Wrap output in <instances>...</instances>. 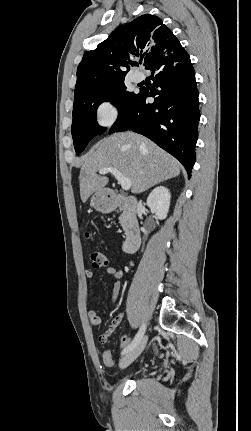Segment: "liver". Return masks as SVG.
<instances>
[{"label": "liver", "instance_id": "1", "mask_svg": "<svg viewBox=\"0 0 251 431\" xmlns=\"http://www.w3.org/2000/svg\"><path fill=\"white\" fill-rule=\"evenodd\" d=\"M117 169L131 180V191L142 193L152 186L180 174V163L146 137L121 132L97 143L83 158L80 171L82 202L109 182L106 176L97 175L102 168Z\"/></svg>", "mask_w": 251, "mask_h": 431}]
</instances>
